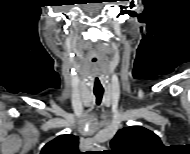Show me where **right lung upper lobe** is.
<instances>
[{
    "instance_id": "right-lung-upper-lobe-1",
    "label": "right lung upper lobe",
    "mask_w": 190,
    "mask_h": 154,
    "mask_svg": "<svg viewBox=\"0 0 190 154\" xmlns=\"http://www.w3.org/2000/svg\"><path fill=\"white\" fill-rule=\"evenodd\" d=\"M78 137L65 134L47 143L40 154H79Z\"/></svg>"
}]
</instances>
